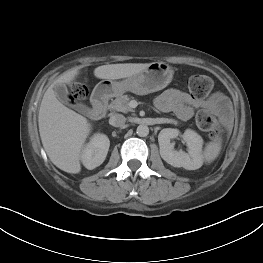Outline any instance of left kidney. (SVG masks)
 Returning a JSON list of instances; mask_svg holds the SVG:
<instances>
[{
	"instance_id": "left-kidney-1",
	"label": "left kidney",
	"mask_w": 263,
	"mask_h": 263,
	"mask_svg": "<svg viewBox=\"0 0 263 263\" xmlns=\"http://www.w3.org/2000/svg\"><path fill=\"white\" fill-rule=\"evenodd\" d=\"M179 130L172 128L162 129L158 135L160 155L164 161L174 167H183L187 170H196L203 164V139L195 131L187 129L182 135L188 147V153L177 151L171 139L179 135Z\"/></svg>"
}]
</instances>
